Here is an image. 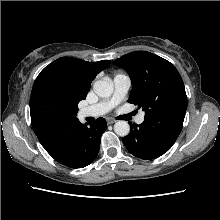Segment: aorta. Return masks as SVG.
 I'll use <instances>...</instances> for the list:
<instances>
[{
    "label": "aorta",
    "mask_w": 220,
    "mask_h": 220,
    "mask_svg": "<svg viewBox=\"0 0 220 220\" xmlns=\"http://www.w3.org/2000/svg\"><path fill=\"white\" fill-rule=\"evenodd\" d=\"M93 90L99 97L108 98L113 93V84L105 80H97ZM114 131L118 136L125 137L130 132V126L128 122L120 120L115 123Z\"/></svg>",
    "instance_id": "aorta-1"
}]
</instances>
